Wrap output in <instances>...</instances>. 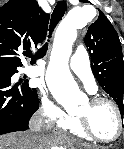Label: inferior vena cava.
<instances>
[{
    "label": "inferior vena cava",
    "mask_w": 124,
    "mask_h": 149,
    "mask_svg": "<svg viewBox=\"0 0 124 149\" xmlns=\"http://www.w3.org/2000/svg\"><path fill=\"white\" fill-rule=\"evenodd\" d=\"M44 115L41 112H37L33 115L29 122L30 127V139H38L43 135V131L45 129V124L43 122Z\"/></svg>",
    "instance_id": "1"
}]
</instances>
